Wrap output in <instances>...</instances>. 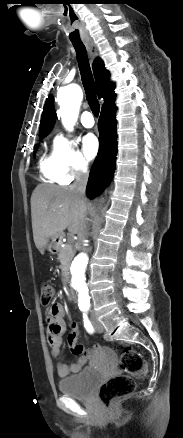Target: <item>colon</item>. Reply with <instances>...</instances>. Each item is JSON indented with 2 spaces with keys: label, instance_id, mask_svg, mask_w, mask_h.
Masks as SVG:
<instances>
[{
  "label": "colon",
  "instance_id": "5ec220e1",
  "mask_svg": "<svg viewBox=\"0 0 183 438\" xmlns=\"http://www.w3.org/2000/svg\"><path fill=\"white\" fill-rule=\"evenodd\" d=\"M54 297V287L49 281L41 284V304L48 306ZM119 366L123 374L105 381L99 390L101 403L111 408L117 401L133 393L136 380L144 379L148 373L146 358L129 345L121 348Z\"/></svg>",
  "mask_w": 183,
  "mask_h": 438
}]
</instances>
